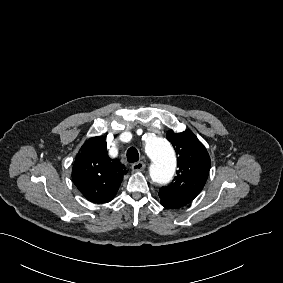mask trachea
I'll list each match as a JSON object with an SVG mask.
<instances>
[{"label":"trachea","instance_id":"1","mask_svg":"<svg viewBox=\"0 0 283 283\" xmlns=\"http://www.w3.org/2000/svg\"><path fill=\"white\" fill-rule=\"evenodd\" d=\"M127 160L129 163H134L139 160V153L135 147H130L127 150Z\"/></svg>","mask_w":283,"mask_h":283}]
</instances>
